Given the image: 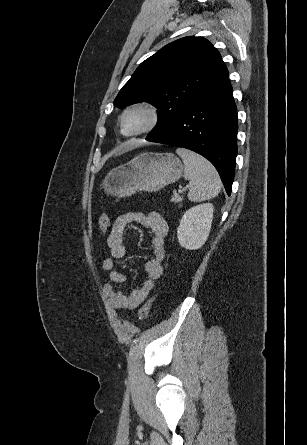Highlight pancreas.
<instances>
[{"label": "pancreas", "mask_w": 307, "mask_h": 445, "mask_svg": "<svg viewBox=\"0 0 307 445\" xmlns=\"http://www.w3.org/2000/svg\"><path fill=\"white\" fill-rule=\"evenodd\" d=\"M183 198H181L180 194H172L171 202H181Z\"/></svg>", "instance_id": "obj_1"}]
</instances>
